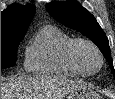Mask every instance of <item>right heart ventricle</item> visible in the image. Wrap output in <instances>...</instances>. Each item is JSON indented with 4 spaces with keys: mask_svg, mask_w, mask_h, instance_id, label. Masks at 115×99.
Wrapping results in <instances>:
<instances>
[{
    "mask_svg": "<svg viewBox=\"0 0 115 99\" xmlns=\"http://www.w3.org/2000/svg\"><path fill=\"white\" fill-rule=\"evenodd\" d=\"M72 39L68 33L57 26L41 27L27 49L26 70L37 75L82 76L66 56V48Z\"/></svg>",
    "mask_w": 115,
    "mask_h": 99,
    "instance_id": "obj_1",
    "label": "right heart ventricle"
}]
</instances>
